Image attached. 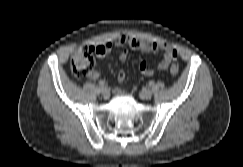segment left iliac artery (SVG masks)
<instances>
[{
	"label": "left iliac artery",
	"mask_w": 243,
	"mask_h": 167,
	"mask_svg": "<svg viewBox=\"0 0 243 167\" xmlns=\"http://www.w3.org/2000/svg\"><path fill=\"white\" fill-rule=\"evenodd\" d=\"M149 85H150V86H153V85H154V81H152V80L149 81Z\"/></svg>",
	"instance_id": "obj_1"
}]
</instances>
